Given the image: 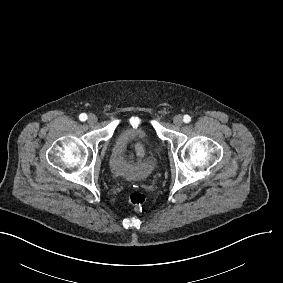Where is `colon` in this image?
<instances>
[{
	"label": "colon",
	"instance_id": "1",
	"mask_svg": "<svg viewBox=\"0 0 283 283\" xmlns=\"http://www.w3.org/2000/svg\"><path fill=\"white\" fill-rule=\"evenodd\" d=\"M129 201L136 208H141L146 203V196L141 192H133L129 196Z\"/></svg>",
	"mask_w": 283,
	"mask_h": 283
}]
</instances>
